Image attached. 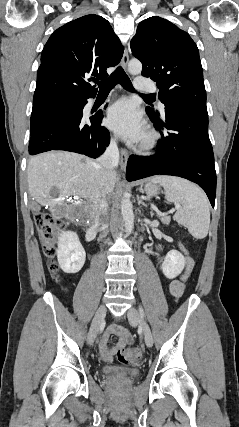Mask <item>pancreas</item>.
Wrapping results in <instances>:
<instances>
[{
	"instance_id": "1",
	"label": "pancreas",
	"mask_w": 239,
	"mask_h": 427,
	"mask_svg": "<svg viewBox=\"0 0 239 427\" xmlns=\"http://www.w3.org/2000/svg\"><path fill=\"white\" fill-rule=\"evenodd\" d=\"M159 218H160L161 222L163 224H166V225H168L171 221L170 216H167V215L159 216Z\"/></svg>"
}]
</instances>
